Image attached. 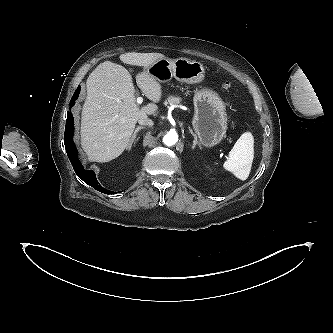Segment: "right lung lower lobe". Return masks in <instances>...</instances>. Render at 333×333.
Wrapping results in <instances>:
<instances>
[{
  "mask_svg": "<svg viewBox=\"0 0 333 333\" xmlns=\"http://www.w3.org/2000/svg\"><path fill=\"white\" fill-rule=\"evenodd\" d=\"M80 86L76 89L73 94V97L70 101V108L75 104V100L78 98L80 93ZM74 134V118L71 111L68 112L65 126L64 134V144L69 160L74 168L75 173L79 178H81L85 183L93 187L94 189L105 193V194H114L112 191H108L99 184L96 179L95 173L92 170H85L78 159L77 149L73 141Z\"/></svg>",
  "mask_w": 333,
  "mask_h": 333,
  "instance_id": "98d812e1",
  "label": "right lung lower lobe"
}]
</instances>
